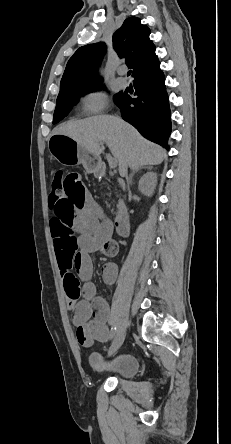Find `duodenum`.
Segmentation results:
<instances>
[{
    "mask_svg": "<svg viewBox=\"0 0 231 444\" xmlns=\"http://www.w3.org/2000/svg\"><path fill=\"white\" fill-rule=\"evenodd\" d=\"M113 226L117 235L122 237L129 235V219L125 213L121 212L117 215Z\"/></svg>",
    "mask_w": 231,
    "mask_h": 444,
    "instance_id": "410a0bca",
    "label": "duodenum"
}]
</instances>
